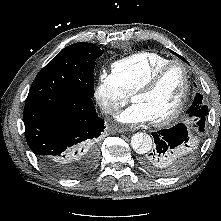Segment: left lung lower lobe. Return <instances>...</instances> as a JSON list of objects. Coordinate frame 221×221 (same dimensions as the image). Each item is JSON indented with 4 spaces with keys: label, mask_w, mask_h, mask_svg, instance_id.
Wrapping results in <instances>:
<instances>
[{
    "label": "left lung lower lobe",
    "mask_w": 221,
    "mask_h": 221,
    "mask_svg": "<svg viewBox=\"0 0 221 221\" xmlns=\"http://www.w3.org/2000/svg\"><path fill=\"white\" fill-rule=\"evenodd\" d=\"M151 134L155 147L142 156L140 164L157 176H173L184 170L200 145V137L183 123Z\"/></svg>",
    "instance_id": "obj_1"
}]
</instances>
